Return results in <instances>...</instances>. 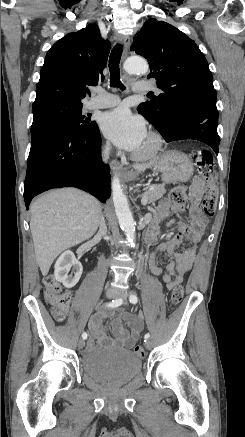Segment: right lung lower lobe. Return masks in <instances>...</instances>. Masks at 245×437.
<instances>
[{"label": "right lung lower lobe", "mask_w": 245, "mask_h": 437, "mask_svg": "<svg viewBox=\"0 0 245 437\" xmlns=\"http://www.w3.org/2000/svg\"><path fill=\"white\" fill-rule=\"evenodd\" d=\"M69 186L87 191L102 202L111 195L109 166L101 161L96 123L78 132L53 126L31 138L24 182L26 207L46 190Z\"/></svg>", "instance_id": "obj_1"}]
</instances>
